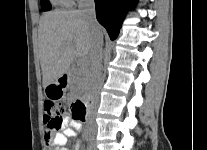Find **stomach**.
<instances>
[{"label":"stomach","mask_w":207,"mask_h":150,"mask_svg":"<svg viewBox=\"0 0 207 150\" xmlns=\"http://www.w3.org/2000/svg\"><path fill=\"white\" fill-rule=\"evenodd\" d=\"M44 94L48 98L62 99L65 96V88H63L57 80L44 88Z\"/></svg>","instance_id":"stomach-1"}]
</instances>
